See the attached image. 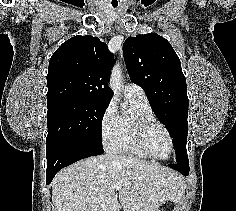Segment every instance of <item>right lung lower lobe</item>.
<instances>
[{
	"instance_id": "98d812e1",
	"label": "right lung lower lobe",
	"mask_w": 236,
	"mask_h": 211,
	"mask_svg": "<svg viewBox=\"0 0 236 211\" xmlns=\"http://www.w3.org/2000/svg\"><path fill=\"white\" fill-rule=\"evenodd\" d=\"M103 152L101 146L84 141L62 140L46 143V184L51 183L60 169L83 158L99 155Z\"/></svg>"
}]
</instances>
